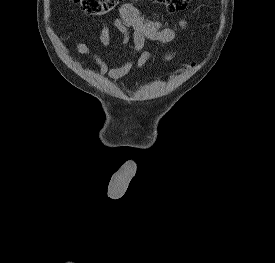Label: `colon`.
<instances>
[{"instance_id":"obj_1","label":"colon","mask_w":275,"mask_h":263,"mask_svg":"<svg viewBox=\"0 0 275 263\" xmlns=\"http://www.w3.org/2000/svg\"><path fill=\"white\" fill-rule=\"evenodd\" d=\"M79 4L86 14L104 16L112 12L120 0H71ZM190 0H158L170 13L182 12L187 8Z\"/></svg>"}]
</instances>
